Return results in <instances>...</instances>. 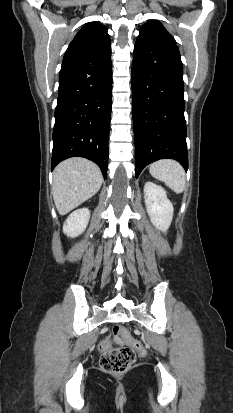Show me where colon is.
<instances>
[{"instance_id": "colon-1", "label": "colon", "mask_w": 233, "mask_h": 413, "mask_svg": "<svg viewBox=\"0 0 233 413\" xmlns=\"http://www.w3.org/2000/svg\"><path fill=\"white\" fill-rule=\"evenodd\" d=\"M126 335V330L119 326L112 327V338L120 340ZM99 350L101 353L100 366L111 374H123L127 372L135 361V353L143 355L145 348L143 344L137 340H133L129 347H114L111 339H105L100 343Z\"/></svg>"}]
</instances>
